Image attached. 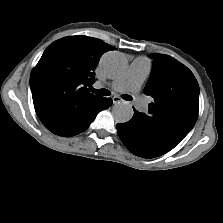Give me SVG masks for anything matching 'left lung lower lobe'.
Here are the masks:
<instances>
[{
	"mask_svg": "<svg viewBox=\"0 0 223 223\" xmlns=\"http://www.w3.org/2000/svg\"><path fill=\"white\" fill-rule=\"evenodd\" d=\"M136 112V110L134 109ZM120 139L128 150L143 158H155L173 149L179 141L150 131L136 115L125 124H117Z\"/></svg>",
	"mask_w": 223,
	"mask_h": 223,
	"instance_id": "obj_1",
	"label": "left lung lower lobe"
}]
</instances>
